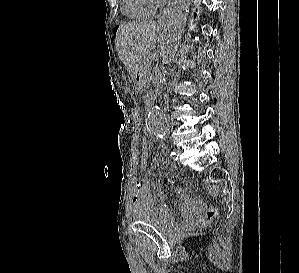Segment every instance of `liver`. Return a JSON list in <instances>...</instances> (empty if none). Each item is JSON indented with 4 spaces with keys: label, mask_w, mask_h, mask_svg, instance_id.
I'll list each match as a JSON object with an SVG mask.
<instances>
[{
    "label": "liver",
    "mask_w": 299,
    "mask_h": 273,
    "mask_svg": "<svg viewBox=\"0 0 299 273\" xmlns=\"http://www.w3.org/2000/svg\"><path fill=\"white\" fill-rule=\"evenodd\" d=\"M156 39L155 21H133L119 26L115 38L116 49L133 79L138 75L141 63L154 49Z\"/></svg>",
    "instance_id": "obj_1"
}]
</instances>
